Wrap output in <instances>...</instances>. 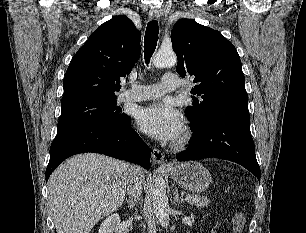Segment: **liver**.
Segmentation results:
<instances>
[{
  "mask_svg": "<svg viewBox=\"0 0 306 233\" xmlns=\"http://www.w3.org/2000/svg\"><path fill=\"white\" fill-rule=\"evenodd\" d=\"M131 165L84 153L63 162L48 180V200L57 233H90L123 203Z\"/></svg>",
  "mask_w": 306,
  "mask_h": 233,
  "instance_id": "6515ba94",
  "label": "liver"
}]
</instances>
